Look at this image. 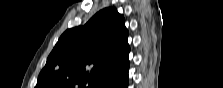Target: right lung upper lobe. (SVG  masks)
<instances>
[{
	"instance_id": "obj_1",
	"label": "right lung upper lobe",
	"mask_w": 223,
	"mask_h": 88,
	"mask_svg": "<svg viewBox=\"0 0 223 88\" xmlns=\"http://www.w3.org/2000/svg\"><path fill=\"white\" fill-rule=\"evenodd\" d=\"M123 15L102 9L59 38L36 88H118L128 80L130 51Z\"/></svg>"
}]
</instances>
